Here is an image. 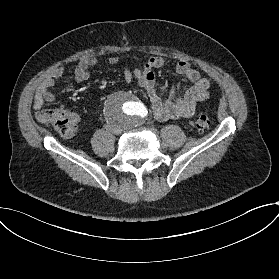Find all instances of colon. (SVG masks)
I'll use <instances>...</instances> for the list:
<instances>
[{"instance_id":"obj_1","label":"colon","mask_w":279,"mask_h":279,"mask_svg":"<svg viewBox=\"0 0 279 279\" xmlns=\"http://www.w3.org/2000/svg\"><path fill=\"white\" fill-rule=\"evenodd\" d=\"M40 122L57 131L63 137H71L78 129L67 111L59 109H46L38 113ZM211 126L210 117L200 114L196 120V128L200 132L207 131Z\"/></svg>"}]
</instances>
